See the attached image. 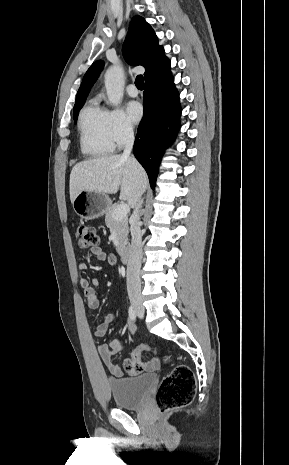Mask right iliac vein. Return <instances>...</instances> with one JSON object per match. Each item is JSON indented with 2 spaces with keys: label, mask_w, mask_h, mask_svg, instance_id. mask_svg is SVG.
<instances>
[{
  "label": "right iliac vein",
  "mask_w": 289,
  "mask_h": 465,
  "mask_svg": "<svg viewBox=\"0 0 289 465\" xmlns=\"http://www.w3.org/2000/svg\"><path fill=\"white\" fill-rule=\"evenodd\" d=\"M132 306L139 317H144L145 310L140 300L133 299Z\"/></svg>",
  "instance_id": "right-iliac-vein-1"
}]
</instances>
